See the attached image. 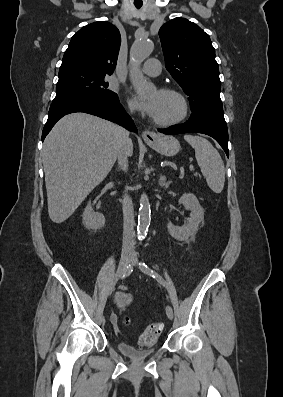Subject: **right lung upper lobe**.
I'll return each instance as SVG.
<instances>
[{
    "mask_svg": "<svg viewBox=\"0 0 283 397\" xmlns=\"http://www.w3.org/2000/svg\"><path fill=\"white\" fill-rule=\"evenodd\" d=\"M121 37L107 21L84 26L72 38L64 53L59 76L70 73L111 75L116 66Z\"/></svg>",
    "mask_w": 283,
    "mask_h": 397,
    "instance_id": "obj_1",
    "label": "right lung upper lobe"
}]
</instances>
